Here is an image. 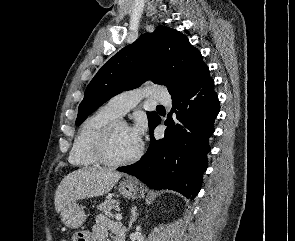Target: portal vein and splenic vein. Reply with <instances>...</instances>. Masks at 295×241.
I'll return each instance as SVG.
<instances>
[{
    "instance_id": "obj_1",
    "label": "portal vein and splenic vein",
    "mask_w": 295,
    "mask_h": 241,
    "mask_svg": "<svg viewBox=\"0 0 295 241\" xmlns=\"http://www.w3.org/2000/svg\"><path fill=\"white\" fill-rule=\"evenodd\" d=\"M116 220L120 221L122 219V215L121 214H116L115 215Z\"/></svg>"
}]
</instances>
